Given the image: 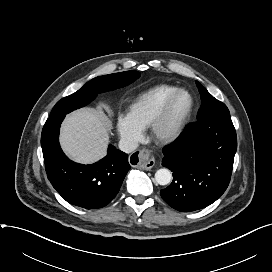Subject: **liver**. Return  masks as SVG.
I'll return each mask as SVG.
<instances>
[{
	"instance_id": "obj_1",
	"label": "liver",
	"mask_w": 272,
	"mask_h": 272,
	"mask_svg": "<svg viewBox=\"0 0 272 272\" xmlns=\"http://www.w3.org/2000/svg\"><path fill=\"white\" fill-rule=\"evenodd\" d=\"M111 125L102 111L90 108L66 116L60 135L64 152L74 161L89 164L106 155Z\"/></svg>"
}]
</instances>
